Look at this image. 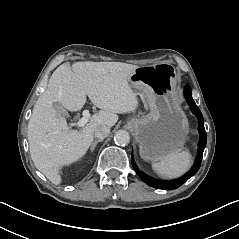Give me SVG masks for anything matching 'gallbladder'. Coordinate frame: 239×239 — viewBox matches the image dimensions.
<instances>
[{
  "label": "gallbladder",
  "instance_id": "1",
  "mask_svg": "<svg viewBox=\"0 0 239 239\" xmlns=\"http://www.w3.org/2000/svg\"><path fill=\"white\" fill-rule=\"evenodd\" d=\"M53 108L56 111L57 114L64 116L65 118H68L69 120L72 118L67 111L58 103H53Z\"/></svg>",
  "mask_w": 239,
  "mask_h": 239
}]
</instances>
